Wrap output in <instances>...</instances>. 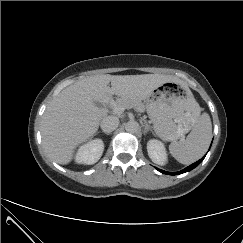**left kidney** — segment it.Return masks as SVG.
<instances>
[{"instance_id":"left-kidney-1","label":"left kidney","mask_w":243,"mask_h":243,"mask_svg":"<svg viewBox=\"0 0 243 243\" xmlns=\"http://www.w3.org/2000/svg\"><path fill=\"white\" fill-rule=\"evenodd\" d=\"M147 151L150 159L158 164L165 165L167 163V153L162 142L151 139L147 143Z\"/></svg>"}]
</instances>
